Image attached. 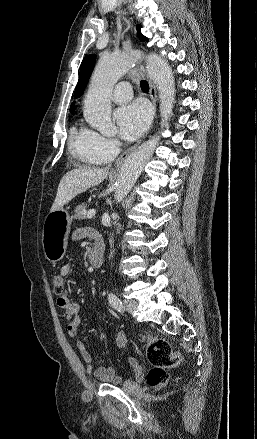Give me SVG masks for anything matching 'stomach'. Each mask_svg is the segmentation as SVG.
I'll use <instances>...</instances> for the list:
<instances>
[{
  "instance_id": "obj_1",
  "label": "stomach",
  "mask_w": 257,
  "mask_h": 439,
  "mask_svg": "<svg viewBox=\"0 0 257 439\" xmlns=\"http://www.w3.org/2000/svg\"><path fill=\"white\" fill-rule=\"evenodd\" d=\"M71 222L70 214L64 208L50 211L46 216L42 243L45 257L50 262L55 263L65 255Z\"/></svg>"
}]
</instances>
